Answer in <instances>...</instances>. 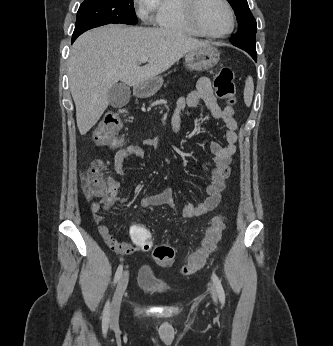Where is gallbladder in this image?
<instances>
[{"label": "gallbladder", "instance_id": "obj_1", "mask_svg": "<svg viewBox=\"0 0 333 346\" xmlns=\"http://www.w3.org/2000/svg\"><path fill=\"white\" fill-rule=\"evenodd\" d=\"M130 96V88L123 82L114 84L107 93L109 104L115 108L125 106L129 102Z\"/></svg>", "mask_w": 333, "mask_h": 346}]
</instances>
